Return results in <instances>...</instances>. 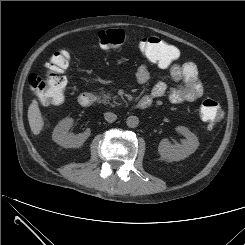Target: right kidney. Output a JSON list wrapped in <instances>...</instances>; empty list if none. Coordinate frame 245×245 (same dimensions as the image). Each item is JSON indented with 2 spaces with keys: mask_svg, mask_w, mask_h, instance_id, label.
<instances>
[{
  "mask_svg": "<svg viewBox=\"0 0 245 245\" xmlns=\"http://www.w3.org/2000/svg\"><path fill=\"white\" fill-rule=\"evenodd\" d=\"M74 120L65 118L54 128L52 139L64 148H79L88 139L91 130L87 128L83 133L73 134L69 130L73 127Z\"/></svg>",
  "mask_w": 245,
  "mask_h": 245,
  "instance_id": "right-kidney-1",
  "label": "right kidney"
}]
</instances>
